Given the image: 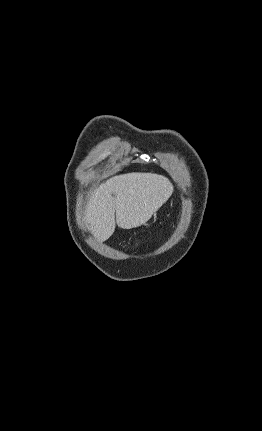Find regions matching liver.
Masks as SVG:
<instances>
[{
    "instance_id": "obj_1",
    "label": "liver",
    "mask_w": 262,
    "mask_h": 431,
    "mask_svg": "<svg viewBox=\"0 0 262 431\" xmlns=\"http://www.w3.org/2000/svg\"><path fill=\"white\" fill-rule=\"evenodd\" d=\"M172 192V183L162 175L128 173L112 177L92 193L86 222L93 236L103 242L114 233L116 223L122 229L146 224Z\"/></svg>"
}]
</instances>
